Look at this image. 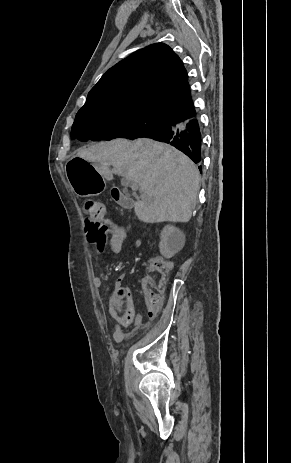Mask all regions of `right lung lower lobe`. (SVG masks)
Returning a JSON list of instances; mask_svg holds the SVG:
<instances>
[{
  "mask_svg": "<svg viewBox=\"0 0 291 463\" xmlns=\"http://www.w3.org/2000/svg\"><path fill=\"white\" fill-rule=\"evenodd\" d=\"M139 138H152L174 146L198 164L201 172L202 136L196 117L188 121H183L179 117L165 118L164 125Z\"/></svg>",
  "mask_w": 291,
  "mask_h": 463,
  "instance_id": "1",
  "label": "right lung lower lobe"
}]
</instances>
